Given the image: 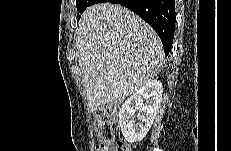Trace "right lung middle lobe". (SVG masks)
Returning <instances> with one entry per match:
<instances>
[{
	"instance_id": "right-lung-middle-lobe-1",
	"label": "right lung middle lobe",
	"mask_w": 231,
	"mask_h": 151,
	"mask_svg": "<svg viewBox=\"0 0 231 151\" xmlns=\"http://www.w3.org/2000/svg\"><path fill=\"white\" fill-rule=\"evenodd\" d=\"M92 0H77V10H78V14H77V18L78 20L80 19V13H83L85 11V9L89 6L92 5L91 3Z\"/></svg>"
}]
</instances>
